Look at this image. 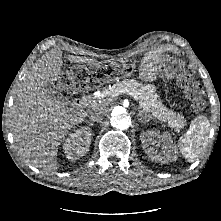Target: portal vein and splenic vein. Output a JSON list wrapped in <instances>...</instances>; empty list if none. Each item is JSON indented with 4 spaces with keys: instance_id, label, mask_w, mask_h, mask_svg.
<instances>
[{
    "instance_id": "18ae733b",
    "label": "portal vein and splenic vein",
    "mask_w": 221,
    "mask_h": 221,
    "mask_svg": "<svg viewBox=\"0 0 221 221\" xmlns=\"http://www.w3.org/2000/svg\"><path fill=\"white\" fill-rule=\"evenodd\" d=\"M121 93H123L124 91H120ZM130 95V94H129ZM134 97V99H136L137 100V98H136V96H133ZM143 110H145L146 112L148 111V109H146V108H144Z\"/></svg>"
}]
</instances>
